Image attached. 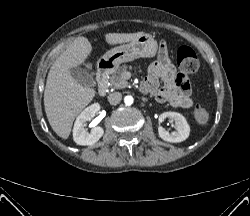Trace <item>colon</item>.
Returning a JSON list of instances; mask_svg holds the SVG:
<instances>
[{
	"label": "colon",
	"instance_id": "1",
	"mask_svg": "<svg viewBox=\"0 0 250 216\" xmlns=\"http://www.w3.org/2000/svg\"><path fill=\"white\" fill-rule=\"evenodd\" d=\"M176 61L184 75L193 74L199 69L198 57L194 50L188 46L178 48ZM192 117L197 124H205L209 119V113L204 105L198 103L193 109Z\"/></svg>",
	"mask_w": 250,
	"mask_h": 216
}]
</instances>
